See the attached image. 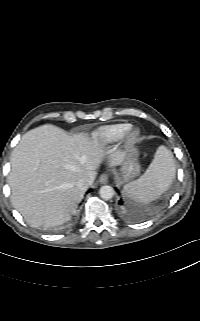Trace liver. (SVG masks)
<instances>
[{"label": "liver", "instance_id": "1", "mask_svg": "<svg viewBox=\"0 0 200 321\" xmlns=\"http://www.w3.org/2000/svg\"><path fill=\"white\" fill-rule=\"evenodd\" d=\"M104 151L96 136H69L50 124L28 131L11 154L8 182L14 208L32 227L66 222L85 192L77 181L87 178L93 184ZM109 158L110 166H116L124 153L114 151Z\"/></svg>", "mask_w": 200, "mask_h": 321}]
</instances>
